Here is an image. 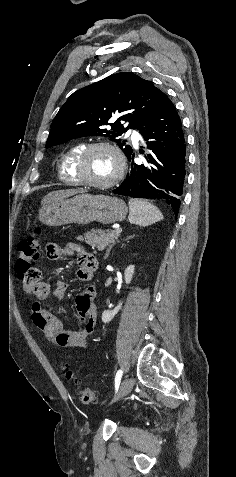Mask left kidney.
<instances>
[{"instance_id": "1", "label": "left kidney", "mask_w": 236, "mask_h": 477, "mask_svg": "<svg viewBox=\"0 0 236 477\" xmlns=\"http://www.w3.org/2000/svg\"><path fill=\"white\" fill-rule=\"evenodd\" d=\"M134 270H135L134 265H130L125 269L124 278H125L126 284H130L134 274ZM121 308H122V302H120L113 310L104 311L102 313V321L104 323L110 322Z\"/></svg>"}]
</instances>
